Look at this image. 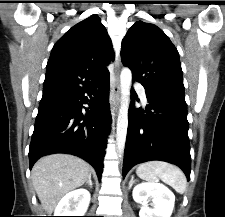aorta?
<instances>
[{"instance_id":"1","label":"aorta","mask_w":225,"mask_h":217,"mask_svg":"<svg viewBox=\"0 0 225 217\" xmlns=\"http://www.w3.org/2000/svg\"><path fill=\"white\" fill-rule=\"evenodd\" d=\"M132 73L129 68H123L120 75V86H121V107L119 109L117 119V152L119 156L124 151L127 128H128V107H129V95L131 87Z\"/></svg>"}]
</instances>
